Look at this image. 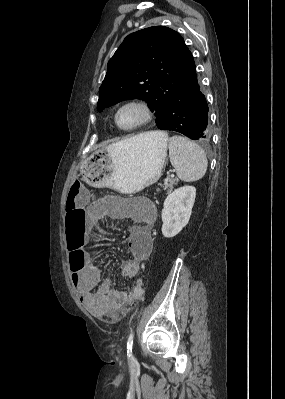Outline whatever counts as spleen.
<instances>
[{
    "instance_id": "1",
    "label": "spleen",
    "mask_w": 285,
    "mask_h": 399,
    "mask_svg": "<svg viewBox=\"0 0 285 399\" xmlns=\"http://www.w3.org/2000/svg\"><path fill=\"white\" fill-rule=\"evenodd\" d=\"M169 157L182 181H197L206 173L208 162L204 150L186 137L175 135L169 139Z\"/></svg>"
}]
</instances>
